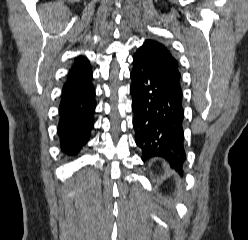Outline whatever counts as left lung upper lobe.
Instances as JSON below:
<instances>
[{
    "mask_svg": "<svg viewBox=\"0 0 248 240\" xmlns=\"http://www.w3.org/2000/svg\"><path fill=\"white\" fill-rule=\"evenodd\" d=\"M135 55L145 59L172 83L181 88L178 61L164 44L155 40H146Z\"/></svg>",
    "mask_w": 248,
    "mask_h": 240,
    "instance_id": "obj_1",
    "label": "left lung upper lobe"
}]
</instances>
